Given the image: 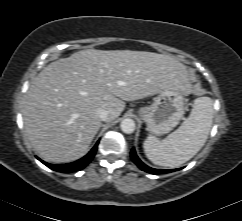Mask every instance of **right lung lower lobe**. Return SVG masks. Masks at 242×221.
Returning a JSON list of instances; mask_svg holds the SVG:
<instances>
[{
  "label": "right lung lower lobe",
  "instance_id": "obj_1",
  "mask_svg": "<svg viewBox=\"0 0 242 221\" xmlns=\"http://www.w3.org/2000/svg\"><path fill=\"white\" fill-rule=\"evenodd\" d=\"M97 146H98V142L95 144V146L91 149V151L86 156H84L83 158H81L75 162L68 163V164L53 165V164L46 163L39 158H38V160H40L43 164H45L47 167H49L50 169H52L54 171L65 172V173L79 171V170H82L83 168H85L92 161V159L96 153Z\"/></svg>",
  "mask_w": 242,
  "mask_h": 221
}]
</instances>
